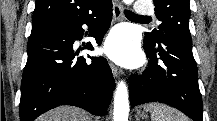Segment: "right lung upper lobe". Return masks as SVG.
Segmentation results:
<instances>
[{
  "label": "right lung upper lobe",
  "instance_id": "cb5924a9",
  "mask_svg": "<svg viewBox=\"0 0 217 121\" xmlns=\"http://www.w3.org/2000/svg\"><path fill=\"white\" fill-rule=\"evenodd\" d=\"M111 0H36L32 23L73 22L92 14Z\"/></svg>",
  "mask_w": 217,
  "mask_h": 121
}]
</instances>
